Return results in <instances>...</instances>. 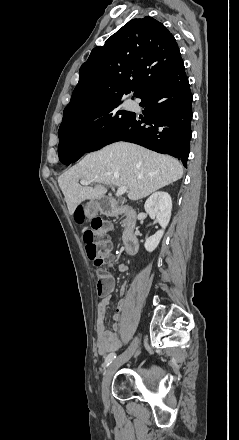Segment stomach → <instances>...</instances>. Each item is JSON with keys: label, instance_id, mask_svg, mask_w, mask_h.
Masks as SVG:
<instances>
[{"label": "stomach", "instance_id": "stomach-1", "mask_svg": "<svg viewBox=\"0 0 239 440\" xmlns=\"http://www.w3.org/2000/svg\"><path fill=\"white\" fill-rule=\"evenodd\" d=\"M99 210H101L99 200H90V202L84 206V214L86 218H94V216H97Z\"/></svg>", "mask_w": 239, "mask_h": 440}]
</instances>
